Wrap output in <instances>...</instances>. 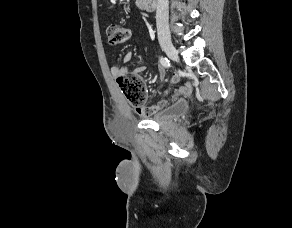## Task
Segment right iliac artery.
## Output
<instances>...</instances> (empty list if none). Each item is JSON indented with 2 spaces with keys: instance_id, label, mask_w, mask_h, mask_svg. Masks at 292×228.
<instances>
[{
  "instance_id": "obj_1",
  "label": "right iliac artery",
  "mask_w": 292,
  "mask_h": 228,
  "mask_svg": "<svg viewBox=\"0 0 292 228\" xmlns=\"http://www.w3.org/2000/svg\"><path fill=\"white\" fill-rule=\"evenodd\" d=\"M160 63L166 68H169L171 66L170 61L166 57H161Z\"/></svg>"
}]
</instances>
